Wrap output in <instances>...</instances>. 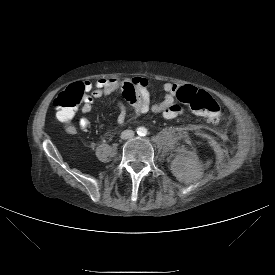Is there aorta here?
Masks as SVG:
<instances>
[{
    "label": "aorta",
    "instance_id": "obj_1",
    "mask_svg": "<svg viewBox=\"0 0 275 275\" xmlns=\"http://www.w3.org/2000/svg\"><path fill=\"white\" fill-rule=\"evenodd\" d=\"M145 131H146L145 128H139V131H138V132H139L140 134H143V133H145Z\"/></svg>",
    "mask_w": 275,
    "mask_h": 275
}]
</instances>
